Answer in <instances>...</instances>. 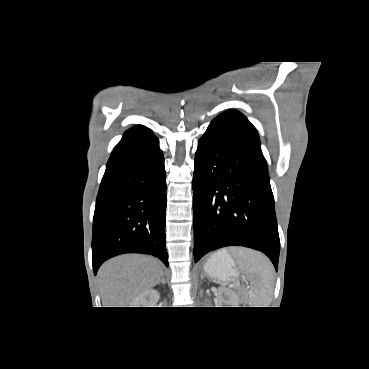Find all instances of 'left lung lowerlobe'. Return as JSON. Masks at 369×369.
<instances>
[{
	"label": "left lung lower lobe",
	"instance_id": "1",
	"mask_svg": "<svg viewBox=\"0 0 369 369\" xmlns=\"http://www.w3.org/2000/svg\"><path fill=\"white\" fill-rule=\"evenodd\" d=\"M194 260L225 246L264 252L278 269L280 240L266 160L238 111L217 116L198 142L193 175Z\"/></svg>",
	"mask_w": 369,
	"mask_h": 369
}]
</instances>
